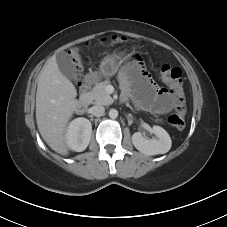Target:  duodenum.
<instances>
[{"label": "duodenum", "instance_id": "410a0bca", "mask_svg": "<svg viewBox=\"0 0 227 227\" xmlns=\"http://www.w3.org/2000/svg\"><path fill=\"white\" fill-rule=\"evenodd\" d=\"M91 83H92V79L90 77L85 80V83L82 88V92L74 104V109L77 113L82 112L89 103L90 98L87 93V90L90 87Z\"/></svg>", "mask_w": 227, "mask_h": 227}]
</instances>
